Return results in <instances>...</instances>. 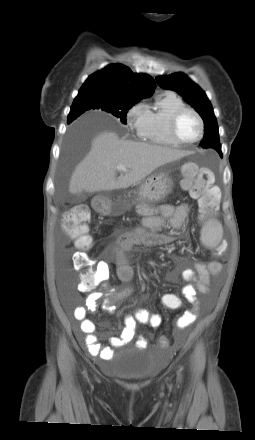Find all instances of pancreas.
Returning <instances> with one entry per match:
<instances>
[{
	"label": "pancreas",
	"mask_w": 255,
	"mask_h": 440,
	"mask_svg": "<svg viewBox=\"0 0 255 440\" xmlns=\"http://www.w3.org/2000/svg\"><path fill=\"white\" fill-rule=\"evenodd\" d=\"M136 212H137V214L142 215V216H151V215L158 213L157 210L152 208L150 206V204L145 201H141V202L137 203Z\"/></svg>",
	"instance_id": "cf45deb5"
}]
</instances>
